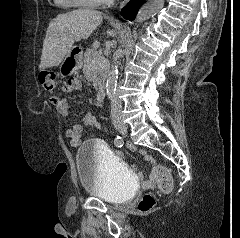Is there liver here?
Returning a JSON list of instances; mask_svg holds the SVG:
<instances>
[{
  "label": "liver",
  "mask_w": 240,
  "mask_h": 238,
  "mask_svg": "<svg viewBox=\"0 0 240 238\" xmlns=\"http://www.w3.org/2000/svg\"><path fill=\"white\" fill-rule=\"evenodd\" d=\"M101 21L102 13L90 9H78L58 15L47 28L39 68L42 70L58 66L74 42L87 39ZM107 35L114 37L116 32L108 30ZM115 45V41L109 42V46ZM93 46L98 48L99 42L95 41Z\"/></svg>",
  "instance_id": "obj_1"
}]
</instances>
